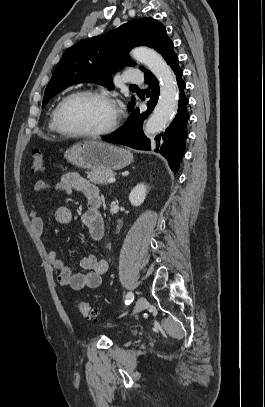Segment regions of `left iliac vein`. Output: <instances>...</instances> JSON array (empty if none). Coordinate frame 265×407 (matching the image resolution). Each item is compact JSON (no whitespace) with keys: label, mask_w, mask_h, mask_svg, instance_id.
<instances>
[{"label":"left iliac vein","mask_w":265,"mask_h":407,"mask_svg":"<svg viewBox=\"0 0 265 407\" xmlns=\"http://www.w3.org/2000/svg\"><path fill=\"white\" fill-rule=\"evenodd\" d=\"M147 305V300L145 297L141 296L137 299L135 306L133 308V314L139 313L145 309Z\"/></svg>","instance_id":"left-iliac-vein-1"}]
</instances>
